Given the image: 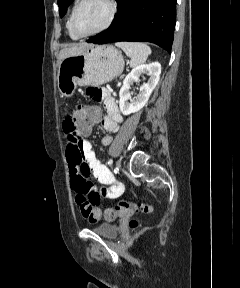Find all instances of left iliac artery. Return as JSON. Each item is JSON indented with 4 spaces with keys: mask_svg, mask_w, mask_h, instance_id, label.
<instances>
[{
    "mask_svg": "<svg viewBox=\"0 0 240 288\" xmlns=\"http://www.w3.org/2000/svg\"><path fill=\"white\" fill-rule=\"evenodd\" d=\"M112 163H113V160H112V159H109V160H108V165H112Z\"/></svg>",
    "mask_w": 240,
    "mask_h": 288,
    "instance_id": "left-iliac-artery-1",
    "label": "left iliac artery"
}]
</instances>
